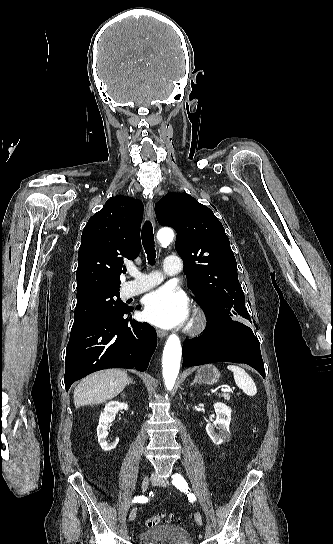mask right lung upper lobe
I'll list each match as a JSON object with an SVG mask.
<instances>
[{
	"instance_id": "right-lung-upper-lobe-1",
	"label": "right lung upper lobe",
	"mask_w": 333,
	"mask_h": 544,
	"mask_svg": "<svg viewBox=\"0 0 333 544\" xmlns=\"http://www.w3.org/2000/svg\"><path fill=\"white\" fill-rule=\"evenodd\" d=\"M143 209L140 200L117 195L89 219L78 253L77 299L119 290L124 260L140 252Z\"/></svg>"
}]
</instances>
